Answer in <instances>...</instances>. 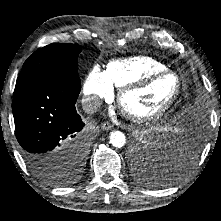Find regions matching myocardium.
<instances>
[{
    "instance_id": "f54148a6",
    "label": "myocardium",
    "mask_w": 221,
    "mask_h": 221,
    "mask_svg": "<svg viewBox=\"0 0 221 221\" xmlns=\"http://www.w3.org/2000/svg\"><path fill=\"white\" fill-rule=\"evenodd\" d=\"M165 76L172 77L175 80L176 87L171 98L162 107H160L155 112L149 114H135L126 108L124 104V99L128 94L143 89L148 85H150L156 79ZM181 90H182V81L175 72L171 70L157 71L147 74L141 79L121 87L117 96V104L122 114L129 120L136 123L152 122L162 118L174 106L181 93Z\"/></svg>"
}]
</instances>
